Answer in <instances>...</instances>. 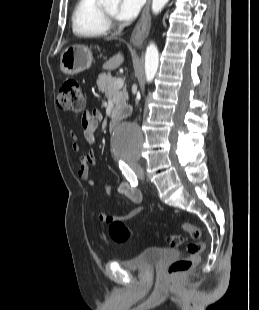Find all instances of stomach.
I'll return each instance as SVG.
<instances>
[{"label": "stomach", "mask_w": 259, "mask_h": 310, "mask_svg": "<svg viewBox=\"0 0 259 310\" xmlns=\"http://www.w3.org/2000/svg\"><path fill=\"white\" fill-rule=\"evenodd\" d=\"M92 53L84 45H72L63 50L60 58V69L66 75H74L90 68Z\"/></svg>", "instance_id": "obj_1"}]
</instances>
